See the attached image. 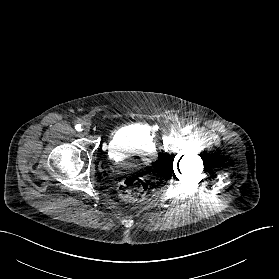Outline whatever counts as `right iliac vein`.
I'll use <instances>...</instances> for the list:
<instances>
[{"mask_svg":"<svg viewBox=\"0 0 279 279\" xmlns=\"http://www.w3.org/2000/svg\"><path fill=\"white\" fill-rule=\"evenodd\" d=\"M89 130H90V127L88 125L85 126L83 129L84 134H87L89 132Z\"/></svg>","mask_w":279,"mask_h":279,"instance_id":"1","label":"right iliac vein"}]
</instances>
